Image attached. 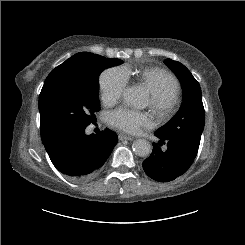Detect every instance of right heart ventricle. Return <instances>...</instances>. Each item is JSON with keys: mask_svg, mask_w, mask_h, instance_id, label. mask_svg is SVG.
Segmentation results:
<instances>
[{"mask_svg": "<svg viewBox=\"0 0 245 245\" xmlns=\"http://www.w3.org/2000/svg\"><path fill=\"white\" fill-rule=\"evenodd\" d=\"M127 79L131 75V71L124 68ZM138 80L144 84L149 91H155L163 87L171 88L175 94H178L179 84L176 78L169 72L158 67H148L137 73Z\"/></svg>", "mask_w": 245, "mask_h": 245, "instance_id": "e07e8e85", "label": "right heart ventricle"}]
</instances>
